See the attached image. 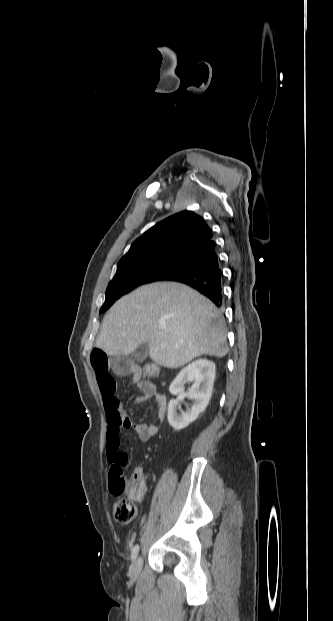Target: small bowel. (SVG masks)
Listing matches in <instances>:
<instances>
[{"label":"small bowel","mask_w":333,"mask_h":621,"mask_svg":"<svg viewBox=\"0 0 333 621\" xmlns=\"http://www.w3.org/2000/svg\"><path fill=\"white\" fill-rule=\"evenodd\" d=\"M92 368L94 369L99 391L102 396L103 406L107 420V441L106 450L110 468L117 464L127 462L126 453L120 448V434L123 430L133 429L142 441H148L155 436L161 427L167 410V400L160 394L154 384L134 376L138 388L142 395L135 400L136 405H140L148 400H155L157 403V416L159 423H134L123 411L120 401L116 396V382L111 375L121 373L128 368V362L121 357H112L101 348H94L90 355ZM143 475V470H135L133 477ZM143 497V496H142ZM140 497L138 500H140Z\"/></svg>","instance_id":"small-bowel-1"}]
</instances>
